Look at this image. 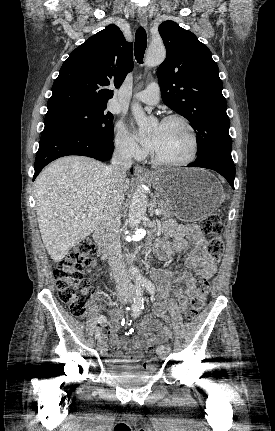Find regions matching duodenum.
I'll return each mask as SVG.
<instances>
[{"instance_id": "1", "label": "duodenum", "mask_w": 275, "mask_h": 431, "mask_svg": "<svg viewBox=\"0 0 275 431\" xmlns=\"http://www.w3.org/2000/svg\"><path fill=\"white\" fill-rule=\"evenodd\" d=\"M93 238L98 247V253L101 259L106 260L108 257L107 239L102 227H98L94 233Z\"/></svg>"}]
</instances>
